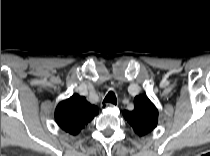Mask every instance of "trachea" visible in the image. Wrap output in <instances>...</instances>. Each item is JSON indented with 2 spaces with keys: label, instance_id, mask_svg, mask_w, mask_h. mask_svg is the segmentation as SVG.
<instances>
[{
  "label": "trachea",
  "instance_id": "1",
  "mask_svg": "<svg viewBox=\"0 0 210 156\" xmlns=\"http://www.w3.org/2000/svg\"><path fill=\"white\" fill-rule=\"evenodd\" d=\"M112 103L114 105L117 104V99H116V96L115 94L112 92V91H109L108 94L106 95L105 99L103 100V103Z\"/></svg>",
  "mask_w": 210,
  "mask_h": 156
}]
</instances>
